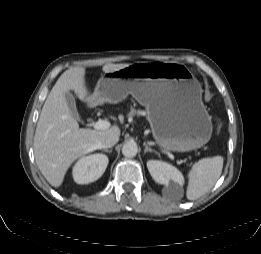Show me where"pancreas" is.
I'll return each mask as SVG.
<instances>
[{
  "instance_id": "cf45deb5",
  "label": "pancreas",
  "mask_w": 261,
  "mask_h": 254,
  "mask_svg": "<svg viewBox=\"0 0 261 254\" xmlns=\"http://www.w3.org/2000/svg\"><path fill=\"white\" fill-rule=\"evenodd\" d=\"M136 114H139V111H137L135 109H131V111L128 113V116L131 117V116H134Z\"/></svg>"
}]
</instances>
